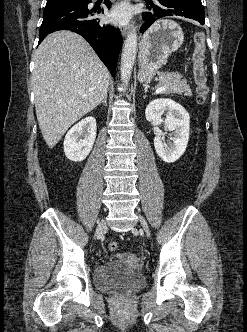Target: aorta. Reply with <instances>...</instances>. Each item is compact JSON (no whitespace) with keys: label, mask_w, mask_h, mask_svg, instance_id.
Instances as JSON below:
<instances>
[{"label":"aorta","mask_w":247,"mask_h":332,"mask_svg":"<svg viewBox=\"0 0 247 332\" xmlns=\"http://www.w3.org/2000/svg\"><path fill=\"white\" fill-rule=\"evenodd\" d=\"M137 52V33L135 30H131L124 42V47L121 56V80L123 83L128 84L132 69L134 66Z\"/></svg>","instance_id":"1"}]
</instances>
